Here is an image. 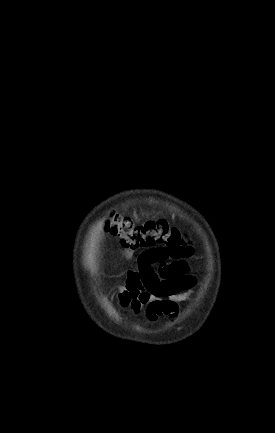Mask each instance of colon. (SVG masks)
<instances>
[{"mask_svg": "<svg viewBox=\"0 0 275 433\" xmlns=\"http://www.w3.org/2000/svg\"><path fill=\"white\" fill-rule=\"evenodd\" d=\"M106 229L117 236L121 245L127 249L162 245L166 258L180 259L190 254L184 234L163 220L136 224L129 217L112 213L107 220Z\"/></svg>", "mask_w": 275, "mask_h": 433, "instance_id": "colon-1", "label": "colon"}]
</instances>
